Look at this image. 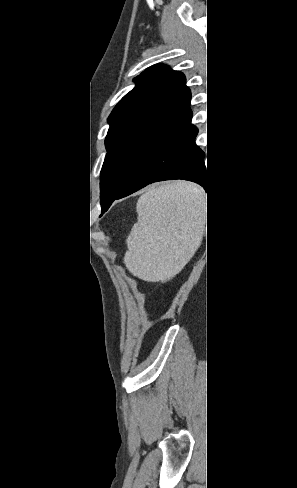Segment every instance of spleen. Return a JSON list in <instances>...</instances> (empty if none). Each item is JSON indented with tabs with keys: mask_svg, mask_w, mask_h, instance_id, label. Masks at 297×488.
<instances>
[{
	"mask_svg": "<svg viewBox=\"0 0 297 488\" xmlns=\"http://www.w3.org/2000/svg\"><path fill=\"white\" fill-rule=\"evenodd\" d=\"M204 190L187 182L150 188L137 202L138 222L127 239L126 268L145 281H165L182 270L199 246Z\"/></svg>",
	"mask_w": 297,
	"mask_h": 488,
	"instance_id": "3e777b00",
	"label": "spleen"
}]
</instances>
